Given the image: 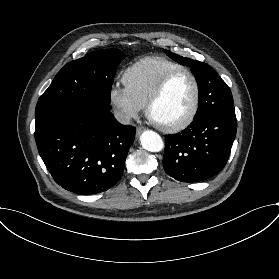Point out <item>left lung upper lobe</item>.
Wrapping results in <instances>:
<instances>
[{
	"mask_svg": "<svg viewBox=\"0 0 279 279\" xmlns=\"http://www.w3.org/2000/svg\"><path fill=\"white\" fill-rule=\"evenodd\" d=\"M165 53L176 62L189 66L196 77L199 90V108L194 118H199L207 113L235 116L230 88L209 65L184 58L167 50Z\"/></svg>",
	"mask_w": 279,
	"mask_h": 279,
	"instance_id": "left-lung-upper-lobe-1",
	"label": "left lung upper lobe"
}]
</instances>
